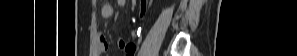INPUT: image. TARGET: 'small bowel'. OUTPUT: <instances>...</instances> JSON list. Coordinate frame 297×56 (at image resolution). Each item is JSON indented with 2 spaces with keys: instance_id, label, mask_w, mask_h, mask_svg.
<instances>
[{
  "instance_id": "small-bowel-1",
  "label": "small bowel",
  "mask_w": 297,
  "mask_h": 56,
  "mask_svg": "<svg viewBox=\"0 0 297 56\" xmlns=\"http://www.w3.org/2000/svg\"><path fill=\"white\" fill-rule=\"evenodd\" d=\"M119 5L123 6L126 4V0H118L117 1ZM102 14L104 17H111L113 15V8L106 4L102 8ZM119 47L122 49H125L127 54H132L134 52V46L132 44H127L125 41L120 40L119 41ZM108 48V43L106 38L103 35L99 36L98 44H97V52L99 55L105 53V51Z\"/></svg>"
}]
</instances>
